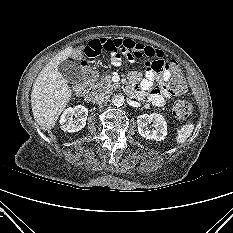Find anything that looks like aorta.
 Wrapping results in <instances>:
<instances>
[{
  "mask_svg": "<svg viewBox=\"0 0 233 233\" xmlns=\"http://www.w3.org/2000/svg\"><path fill=\"white\" fill-rule=\"evenodd\" d=\"M125 102L124 96L122 94H115L112 97V103L115 106H122Z\"/></svg>",
  "mask_w": 233,
  "mask_h": 233,
  "instance_id": "762f6f07",
  "label": "aorta"
}]
</instances>
